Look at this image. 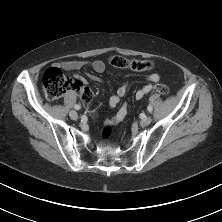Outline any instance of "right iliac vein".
<instances>
[{"label":"right iliac vein","mask_w":222,"mask_h":222,"mask_svg":"<svg viewBox=\"0 0 222 222\" xmlns=\"http://www.w3.org/2000/svg\"><path fill=\"white\" fill-rule=\"evenodd\" d=\"M69 116L73 120H77L78 119V114H77V112L75 110L70 111Z\"/></svg>","instance_id":"right-iliac-vein-1"}]
</instances>
